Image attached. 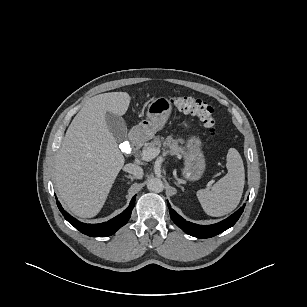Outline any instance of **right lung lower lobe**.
<instances>
[{
  "label": "right lung lower lobe",
  "mask_w": 307,
  "mask_h": 307,
  "mask_svg": "<svg viewBox=\"0 0 307 307\" xmlns=\"http://www.w3.org/2000/svg\"><path fill=\"white\" fill-rule=\"evenodd\" d=\"M134 205L135 196L132 198L129 207H127L121 214L114 217L113 219L100 224H86L70 216L66 211H64L60 202L57 201V206L60 212L63 214L64 218L81 233L92 237H107L114 234L120 227L127 223L131 216V211L134 208Z\"/></svg>",
  "instance_id": "right-lung-lower-lobe-1"
}]
</instances>
